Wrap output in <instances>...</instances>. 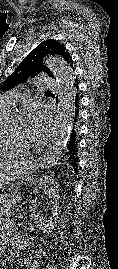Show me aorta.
<instances>
[{"label":"aorta","mask_w":118,"mask_h":269,"mask_svg":"<svg viewBox=\"0 0 118 269\" xmlns=\"http://www.w3.org/2000/svg\"><path fill=\"white\" fill-rule=\"evenodd\" d=\"M45 64L56 77L59 93L54 130L42 157V166L48 168L58 161L66 147L73 120L76 91L72 69L63 58L48 56L45 59Z\"/></svg>","instance_id":"obj_1"}]
</instances>
